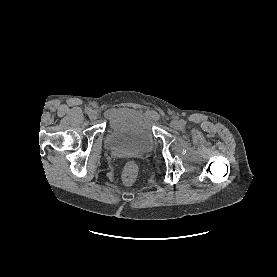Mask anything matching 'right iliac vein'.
Segmentation results:
<instances>
[{
	"instance_id": "63e3f726",
	"label": "right iliac vein",
	"mask_w": 277,
	"mask_h": 277,
	"mask_svg": "<svg viewBox=\"0 0 277 277\" xmlns=\"http://www.w3.org/2000/svg\"><path fill=\"white\" fill-rule=\"evenodd\" d=\"M97 112L95 110H92L90 113H89V118L91 120H95L97 118Z\"/></svg>"
}]
</instances>
